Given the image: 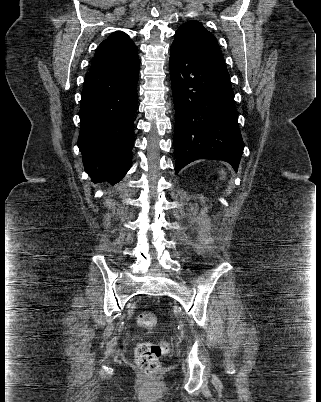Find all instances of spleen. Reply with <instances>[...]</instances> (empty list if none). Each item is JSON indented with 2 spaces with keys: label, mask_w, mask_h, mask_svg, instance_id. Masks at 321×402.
Wrapping results in <instances>:
<instances>
[{
  "label": "spleen",
  "mask_w": 321,
  "mask_h": 402,
  "mask_svg": "<svg viewBox=\"0 0 321 402\" xmlns=\"http://www.w3.org/2000/svg\"><path fill=\"white\" fill-rule=\"evenodd\" d=\"M221 174H222V175H225V173H224V171H223V170H221ZM223 178H224V176H223Z\"/></svg>",
  "instance_id": "obj_1"
}]
</instances>
